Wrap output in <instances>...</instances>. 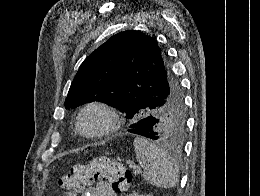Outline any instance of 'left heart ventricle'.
Segmentation results:
<instances>
[{"mask_svg": "<svg viewBox=\"0 0 260 196\" xmlns=\"http://www.w3.org/2000/svg\"><path fill=\"white\" fill-rule=\"evenodd\" d=\"M109 123V115L100 108L89 109L81 118L80 127L86 133H96Z\"/></svg>", "mask_w": 260, "mask_h": 196, "instance_id": "left-heart-ventricle-1", "label": "left heart ventricle"}]
</instances>
